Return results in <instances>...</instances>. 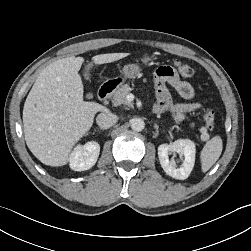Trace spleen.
<instances>
[{
    "label": "spleen",
    "instance_id": "1",
    "mask_svg": "<svg viewBox=\"0 0 251 251\" xmlns=\"http://www.w3.org/2000/svg\"><path fill=\"white\" fill-rule=\"evenodd\" d=\"M223 148L220 136H215L209 140L201 151L202 172H207L219 159Z\"/></svg>",
    "mask_w": 251,
    "mask_h": 251
}]
</instances>
